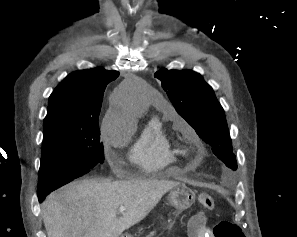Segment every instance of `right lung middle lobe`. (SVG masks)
<instances>
[{"mask_svg":"<svg viewBox=\"0 0 297 237\" xmlns=\"http://www.w3.org/2000/svg\"><path fill=\"white\" fill-rule=\"evenodd\" d=\"M98 121L61 120L44 125L38 190H55L103 163Z\"/></svg>","mask_w":297,"mask_h":237,"instance_id":"obj_1","label":"right lung middle lobe"}]
</instances>
